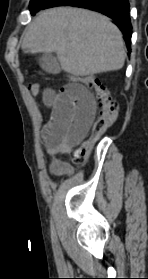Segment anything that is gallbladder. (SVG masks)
Listing matches in <instances>:
<instances>
[{
	"label": "gallbladder",
	"instance_id": "bac80fb5",
	"mask_svg": "<svg viewBox=\"0 0 148 279\" xmlns=\"http://www.w3.org/2000/svg\"><path fill=\"white\" fill-rule=\"evenodd\" d=\"M42 70L49 74H59L61 71L58 60L51 53H43L37 58Z\"/></svg>",
	"mask_w": 148,
	"mask_h": 279
}]
</instances>
